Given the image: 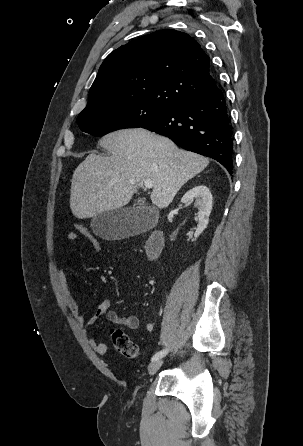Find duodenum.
I'll list each match as a JSON object with an SVG mask.
<instances>
[{
    "label": "duodenum",
    "instance_id": "obj_1",
    "mask_svg": "<svg viewBox=\"0 0 303 446\" xmlns=\"http://www.w3.org/2000/svg\"><path fill=\"white\" fill-rule=\"evenodd\" d=\"M163 245H164L163 234L160 231L153 232L148 238L145 245L146 254L150 258L157 257L160 254Z\"/></svg>",
    "mask_w": 303,
    "mask_h": 446
}]
</instances>
